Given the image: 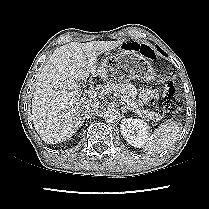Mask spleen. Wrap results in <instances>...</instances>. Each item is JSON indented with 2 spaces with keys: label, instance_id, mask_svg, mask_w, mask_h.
Listing matches in <instances>:
<instances>
[{
  "label": "spleen",
  "instance_id": "3e777b00",
  "mask_svg": "<svg viewBox=\"0 0 209 209\" xmlns=\"http://www.w3.org/2000/svg\"><path fill=\"white\" fill-rule=\"evenodd\" d=\"M180 126L173 121L161 124L145 146L149 154L160 153L172 146L179 138Z\"/></svg>",
  "mask_w": 209,
  "mask_h": 209
}]
</instances>
